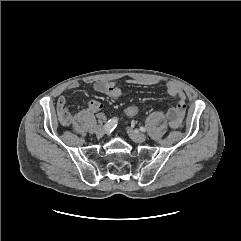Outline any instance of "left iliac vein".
I'll return each mask as SVG.
<instances>
[{
	"label": "left iliac vein",
	"instance_id": "1",
	"mask_svg": "<svg viewBox=\"0 0 241 241\" xmlns=\"http://www.w3.org/2000/svg\"><path fill=\"white\" fill-rule=\"evenodd\" d=\"M127 132L129 134L130 138L137 143H142L147 138L145 134L139 132L138 130H133L131 128H128Z\"/></svg>",
	"mask_w": 241,
	"mask_h": 241
}]
</instances>
